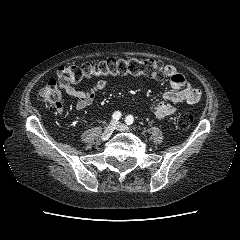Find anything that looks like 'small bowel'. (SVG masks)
Instances as JSON below:
<instances>
[{"mask_svg": "<svg viewBox=\"0 0 240 240\" xmlns=\"http://www.w3.org/2000/svg\"><path fill=\"white\" fill-rule=\"evenodd\" d=\"M166 76L169 78L171 89L164 93L162 101L152 107L153 114L157 119H165L174 114L179 104L197 103L202 96V92L193 87L175 66H166ZM107 86V80L100 79L86 90H79L73 86L62 87V89L67 95L76 99L75 108L81 111L90 106L97 93L105 90ZM59 112H62V109Z\"/></svg>", "mask_w": 240, "mask_h": 240, "instance_id": "obj_1", "label": "small bowel"}]
</instances>
